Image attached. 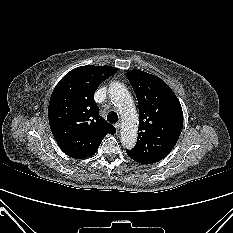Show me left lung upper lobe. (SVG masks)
<instances>
[{
  "instance_id": "left-lung-upper-lobe-1",
  "label": "left lung upper lobe",
  "mask_w": 233,
  "mask_h": 233,
  "mask_svg": "<svg viewBox=\"0 0 233 233\" xmlns=\"http://www.w3.org/2000/svg\"><path fill=\"white\" fill-rule=\"evenodd\" d=\"M138 99L139 127L130 158L152 164L166 157L175 146L182 128L183 111L172 89L159 77L140 70L126 74Z\"/></svg>"
}]
</instances>
